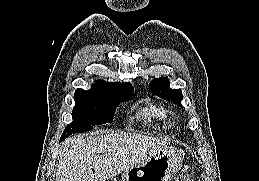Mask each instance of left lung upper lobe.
Returning <instances> with one entry per match:
<instances>
[{"instance_id":"1","label":"left lung upper lobe","mask_w":259,"mask_h":181,"mask_svg":"<svg viewBox=\"0 0 259 181\" xmlns=\"http://www.w3.org/2000/svg\"><path fill=\"white\" fill-rule=\"evenodd\" d=\"M150 88L153 92L165 100H171L179 105L182 101V92L180 89H171L169 86V79L166 77L153 79L150 83Z\"/></svg>"}]
</instances>
